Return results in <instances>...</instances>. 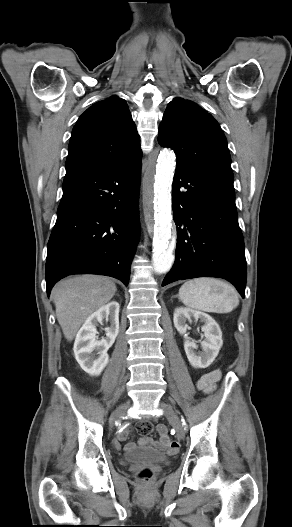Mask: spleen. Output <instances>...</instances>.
<instances>
[{
	"label": "spleen",
	"instance_id": "1",
	"mask_svg": "<svg viewBox=\"0 0 292 527\" xmlns=\"http://www.w3.org/2000/svg\"><path fill=\"white\" fill-rule=\"evenodd\" d=\"M179 299L189 308L215 313H228L239 304L236 289L214 278L186 281L179 289Z\"/></svg>",
	"mask_w": 292,
	"mask_h": 527
}]
</instances>
